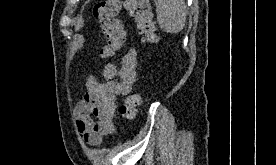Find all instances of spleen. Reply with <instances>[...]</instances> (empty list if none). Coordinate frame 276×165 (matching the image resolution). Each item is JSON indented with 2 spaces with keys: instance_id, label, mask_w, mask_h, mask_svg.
Returning a JSON list of instances; mask_svg holds the SVG:
<instances>
[{
  "instance_id": "3e777b00",
  "label": "spleen",
  "mask_w": 276,
  "mask_h": 165,
  "mask_svg": "<svg viewBox=\"0 0 276 165\" xmlns=\"http://www.w3.org/2000/svg\"><path fill=\"white\" fill-rule=\"evenodd\" d=\"M157 20L166 33H179L185 26L187 10L184 0H154Z\"/></svg>"
}]
</instances>
